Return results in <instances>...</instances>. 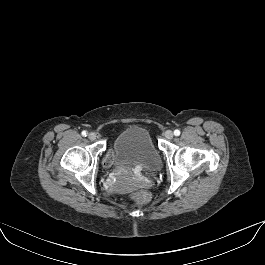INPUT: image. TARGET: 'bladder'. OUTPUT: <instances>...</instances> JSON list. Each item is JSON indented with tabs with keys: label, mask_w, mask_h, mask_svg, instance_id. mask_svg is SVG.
<instances>
[{
	"label": "bladder",
	"mask_w": 265,
	"mask_h": 265,
	"mask_svg": "<svg viewBox=\"0 0 265 265\" xmlns=\"http://www.w3.org/2000/svg\"><path fill=\"white\" fill-rule=\"evenodd\" d=\"M108 154L115 169L143 166L156 172L161 167V157L150 133L140 126H129L119 132L112 141Z\"/></svg>",
	"instance_id": "31cf9c89"
}]
</instances>
